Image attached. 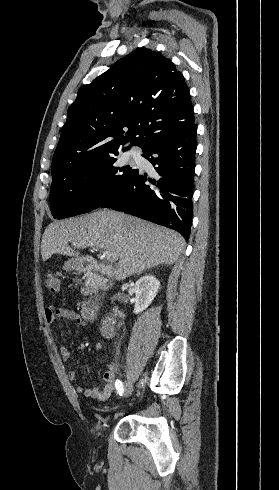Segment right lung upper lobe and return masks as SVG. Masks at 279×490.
I'll return each mask as SVG.
<instances>
[{
  "label": "right lung upper lobe",
  "mask_w": 279,
  "mask_h": 490,
  "mask_svg": "<svg viewBox=\"0 0 279 490\" xmlns=\"http://www.w3.org/2000/svg\"><path fill=\"white\" fill-rule=\"evenodd\" d=\"M195 125L182 73L160 52L136 49L79 90L53 155L52 179L128 141L145 151Z\"/></svg>",
  "instance_id": "right-lung-upper-lobe-1"
}]
</instances>
